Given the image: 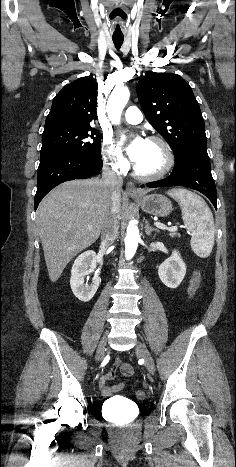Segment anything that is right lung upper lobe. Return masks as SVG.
Wrapping results in <instances>:
<instances>
[{"label": "right lung upper lobe", "mask_w": 236, "mask_h": 467, "mask_svg": "<svg viewBox=\"0 0 236 467\" xmlns=\"http://www.w3.org/2000/svg\"><path fill=\"white\" fill-rule=\"evenodd\" d=\"M97 84L82 77L64 86L54 97L45 127L58 125L90 126L96 120Z\"/></svg>", "instance_id": "1"}]
</instances>
